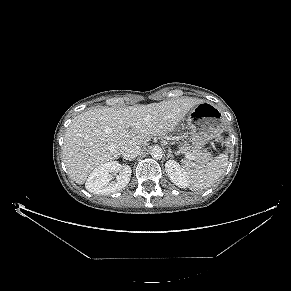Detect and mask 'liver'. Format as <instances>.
<instances>
[{
	"label": "liver",
	"instance_id": "1",
	"mask_svg": "<svg viewBox=\"0 0 291 291\" xmlns=\"http://www.w3.org/2000/svg\"><path fill=\"white\" fill-rule=\"evenodd\" d=\"M201 99L183 97L125 108H95L76 116L64 135L63 160L77 184L97 166L118 159L126 144L145 146L173 131Z\"/></svg>",
	"mask_w": 291,
	"mask_h": 291
}]
</instances>
